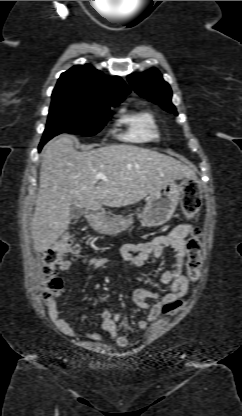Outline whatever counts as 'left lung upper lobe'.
Returning <instances> with one entry per match:
<instances>
[{
  "label": "left lung upper lobe",
  "instance_id": "left-lung-upper-lobe-1",
  "mask_svg": "<svg viewBox=\"0 0 242 416\" xmlns=\"http://www.w3.org/2000/svg\"><path fill=\"white\" fill-rule=\"evenodd\" d=\"M128 80L140 96L154 101L170 113L177 114L176 108L171 103V88L158 70L150 69L143 73L131 74Z\"/></svg>",
  "mask_w": 242,
  "mask_h": 416
}]
</instances>
